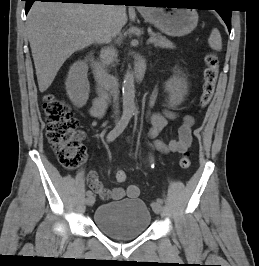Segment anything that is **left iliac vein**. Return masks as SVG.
<instances>
[{"label":"left iliac vein","mask_w":259,"mask_h":266,"mask_svg":"<svg viewBox=\"0 0 259 266\" xmlns=\"http://www.w3.org/2000/svg\"><path fill=\"white\" fill-rule=\"evenodd\" d=\"M152 209L156 214H160L162 211V205L158 202H153Z\"/></svg>","instance_id":"obj_1"}]
</instances>
